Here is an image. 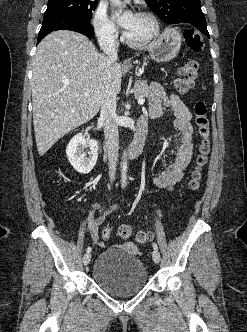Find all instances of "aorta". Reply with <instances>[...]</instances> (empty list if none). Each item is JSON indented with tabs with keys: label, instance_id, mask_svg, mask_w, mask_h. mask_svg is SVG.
Here are the masks:
<instances>
[{
	"label": "aorta",
	"instance_id": "aorta-1",
	"mask_svg": "<svg viewBox=\"0 0 247 332\" xmlns=\"http://www.w3.org/2000/svg\"><path fill=\"white\" fill-rule=\"evenodd\" d=\"M113 4L117 5L119 8L125 7V5L122 3L121 0H110ZM127 158H126V152L124 151L123 154V161L121 163V185L122 187H125L127 184Z\"/></svg>",
	"mask_w": 247,
	"mask_h": 332
}]
</instances>
